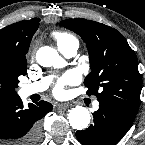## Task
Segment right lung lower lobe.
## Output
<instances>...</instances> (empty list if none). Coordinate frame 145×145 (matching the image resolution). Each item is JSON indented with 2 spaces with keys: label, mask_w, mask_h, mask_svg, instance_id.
I'll return each instance as SVG.
<instances>
[{
  "label": "right lung lower lobe",
  "mask_w": 145,
  "mask_h": 145,
  "mask_svg": "<svg viewBox=\"0 0 145 145\" xmlns=\"http://www.w3.org/2000/svg\"><path fill=\"white\" fill-rule=\"evenodd\" d=\"M52 110L46 101L29 103L24 108L17 96L0 97V143L5 145H37L40 120Z\"/></svg>",
  "instance_id": "obj_1"
}]
</instances>
